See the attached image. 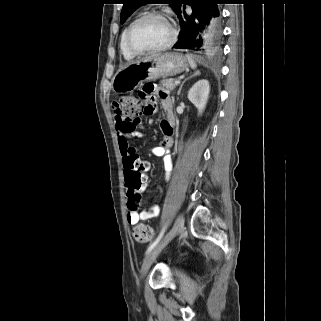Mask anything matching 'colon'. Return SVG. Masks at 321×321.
<instances>
[{
	"instance_id": "1",
	"label": "colon",
	"mask_w": 321,
	"mask_h": 321,
	"mask_svg": "<svg viewBox=\"0 0 321 321\" xmlns=\"http://www.w3.org/2000/svg\"><path fill=\"white\" fill-rule=\"evenodd\" d=\"M147 96L127 95L121 97L117 104V112L125 119H133L140 115H147L152 112V106L147 101ZM148 163L139 157L129 159L125 165V185L128 195V206L135 209L139 206L141 195L147 183L145 172L148 170ZM153 229L145 224H138L132 230L134 239L140 243H147L153 237Z\"/></svg>"
}]
</instances>
